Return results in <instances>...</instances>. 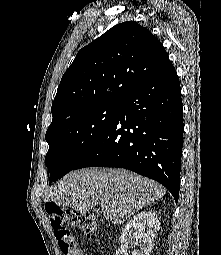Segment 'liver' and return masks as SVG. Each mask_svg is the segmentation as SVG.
Returning a JSON list of instances; mask_svg holds the SVG:
<instances>
[{"mask_svg":"<svg viewBox=\"0 0 221 255\" xmlns=\"http://www.w3.org/2000/svg\"><path fill=\"white\" fill-rule=\"evenodd\" d=\"M165 192L154 180L127 170L88 168L67 174L45 192L43 200L81 213L100 204L106 220L123 224Z\"/></svg>","mask_w":221,"mask_h":255,"instance_id":"6515ba94","label":"liver"}]
</instances>
